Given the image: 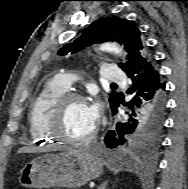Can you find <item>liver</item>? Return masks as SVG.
Masks as SVG:
<instances>
[{
	"label": "liver",
	"instance_id": "liver-1",
	"mask_svg": "<svg viewBox=\"0 0 188 189\" xmlns=\"http://www.w3.org/2000/svg\"><path fill=\"white\" fill-rule=\"evenodd\" d=\"M29 150H34V149H31V148H27V147H22L18 150V153H23V152H27ZM68 151H75V150H72V149H69Z\"/></svg>",
	"mask_w": 188,
	"mask_h": 189
}]
</instances>
